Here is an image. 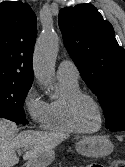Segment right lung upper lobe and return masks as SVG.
<instances>
[{
  "mask_svg": "<svg viewBox=\"0 0 125 167\" xmlns=\"http://www.w3.org/2000/svg\"><path fill=\"white\" fill-rule=\"evenodd\" d=\"M36 16L19 1L0 3V82L32 85Z\"/></svg>",
  "mask_w": 125,
  "mask_h": 167,
  "instance_id": "1",
  "label": "right lung upper lobe"
}]
</instances>
